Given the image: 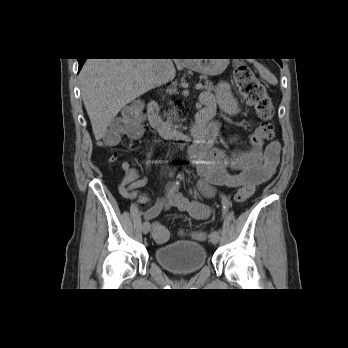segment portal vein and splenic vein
<instances>
[{
    "mask_svg": "<svg viewBox=\"0 0 348 348\" xmlns=\"http://www.w3.org/2000/svg\"><path fill=\"white\" fill-rule=\"evenodd\" d=\"M203 85L201 83L196 84V90H201Z\"/></svg>",
    "mask_w": 348,
    "mask_h": 348,
    "instance_id": "portal-vein-and-splenic-vein-1",
    "label": "portal vein and splenic vein"
}]
</instances>
